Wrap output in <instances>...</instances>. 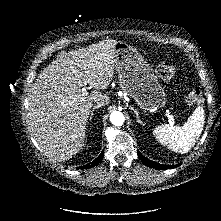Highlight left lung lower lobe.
<instances>
[{"instance_id": "left-lung-lower-lobe-1", "label": "left lung lower lobe", "mask_w": 221, "mask_h": 221, "mask_svg": "<svg viewBox=\"0 0 221 221\" xmlns=\"http://www.w3.org/2000/svg\"><path fill=\"white\" fill-rule=\"evenodd\" d=\"M138 156L142 163L148 167L156 168V169H172L175 168L177 165H163L156 162H153L146 157H144L140 152H138Z\"/></svg>"}]
</instances>
